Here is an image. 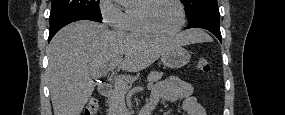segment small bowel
Instances as JSON below:
<instances>
[{"label": "small bowel", "instance_id": "c3829d8e", "mask_svg": "<svg viewBox=\"0 0 285 115\" xmlns=\"http://www.w3.org/2000/svg\"><path fill=\"white\" fill-rule=\"evenodd\" d=\"M177 100H182V107L187 115H206L205 108L193 96L192 84L176 77H169L156 84L149 106L153 109L162 101Z\"/></svg>", "mask_w": 285, "mask_h": 115}]
</instances>
